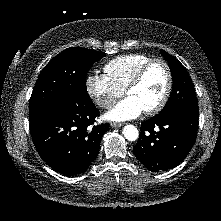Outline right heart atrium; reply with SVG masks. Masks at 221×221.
<instances>
[{"instance_id": "obj_1", "label": "right heart atrium", "mask_w": 221, "mask_h": 221, "mask_svg": "<svg viewBox=\"0 0 221 221\" xmlns=\"http://www.w3.org/2000/svg\"><path fill=\"white\" fill-rule=\"evenodd\" d=\"M86 90L90 98L101 108H110L124 94V90L113 84L106 75L92 73L86 79Z\"/></svg>"}]
</instances>
